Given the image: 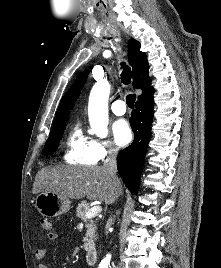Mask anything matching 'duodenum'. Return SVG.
<instances>
[{
	"label": "duodenum",
	"instance_id": "duodenum-1",
	"mask_svg": "<svg viewBox=\"0 0 221 268\" xmlns=\"http://www.w3.org/2000/svg\"><path fill=\"white\" fill-rule=\"evenodd\" d=\"M98 260V250L96 248H90L87 251L86 261L89 265H94Z\"/></svg>",
	"mask_w": 221,
	"mask_h": 268
}]
</instances>
